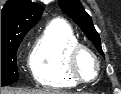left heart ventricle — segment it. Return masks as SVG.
Segmentation results:
<instances>
[{
  "label": "left heart ventricle",
  "instance_id": "left-heart-ventricle-1",
  "mask_svg": "<svg viewBox=\"0 0 121 94\" xmlns=\"http://www.w3.org/2000/svg\"><path fill=\"white\" fill-rule=\"evenodd\" d=\"M78 68L83 77L92 78L95 76V62L92 57L86 53L81 54V56L79 57Z\"/></svg>",
  "mask_w": 121,
  "mask_h": 94
}]
</instances>
